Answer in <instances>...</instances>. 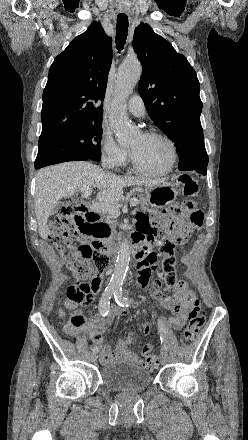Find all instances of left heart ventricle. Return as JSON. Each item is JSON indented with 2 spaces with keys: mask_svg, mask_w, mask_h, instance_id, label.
Wrapping results in <instances>:
<instances>
[{
  "mask_svg": "<svg viewBox=\"0 0 248 440\" xmlns=\"http://www.w3.org/2000/svg\"><path fill=\"white\" fill-rule=\"evenodd\" d=\"M138 165L148 171L167 168L171 159L169 145L161 138L139 135L130 145Z\"/></svg>",
  "mask_w": 248,
  "mask_h": 440,
  "instance_id": "1",
  "label": "left heart ventricle"
}]
</instances>
